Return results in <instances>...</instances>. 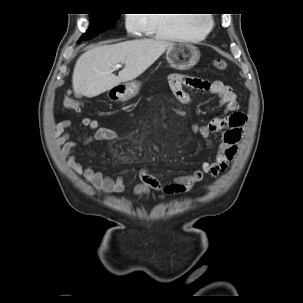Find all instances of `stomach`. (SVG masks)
Returning <instances> with one entry per match:
<instances>
[{
    "mask_svg": "<svg viewBox=\"0 0 303 303\" xmlns=\"http://www.w3.org/2000/svg\"><path fill=\"white\" fill-rule=\"evenodd\" d=\"M200 59V52L197 47L184 42L172 43L166 51V60L172 68L178 70H188L192 68ZM140 82L129 81L112 88L115 99L126 101L136 96L140 90Z\"/></svg>",
    "mask_w": 303,
    "mask_h": 303,
    "instance_id": "0dacf381",
    "label": "stomach"
}]
</instances>
